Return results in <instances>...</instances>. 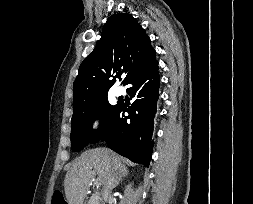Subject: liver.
<instances>
[{
	"label": "liver",
	"instance_id": "6515ba94",
	"mask_svg": "<svg viewBox=\"0 0 253 204\" xmlns=\"http://www.w3.org/2000/svg\"><path fill=\"white\" fill-rule=\"evenodd\" d=\"M123 167L121 157L110 149L95 148L85 151L74 161L65 176L64 189L68 203L83 204L96 175L104 184L111 172L117 173Z\"/></svg>",
	"mask_w": 253,
	"mask_h": 204
}]
</instances>
